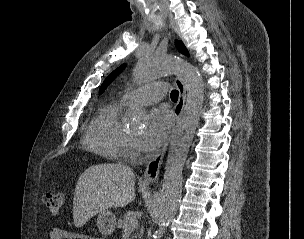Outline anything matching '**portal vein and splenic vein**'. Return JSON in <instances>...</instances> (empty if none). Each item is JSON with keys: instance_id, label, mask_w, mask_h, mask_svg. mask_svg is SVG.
<instances>
[{"instance_id": "portal-vein-and-splenic-vein-1", "label": "portal vein and splenic vein", "mask_w": 304, "mask_h": 239, "mask_svg": "<svg viewBox=\"0 0 304 239\" xmlns=\"http://www.w3.org/2000/svg\"><path fill=\"white\" fill-rule=\"evenodd\" d=\"M137 225H138V221L137 220H133V221H131L129 227L125 228V230H132V229L136 228Z\"/></svg>"}]
</instances>
